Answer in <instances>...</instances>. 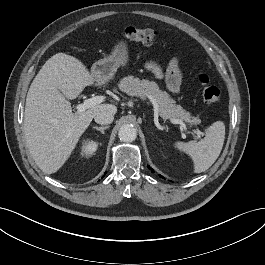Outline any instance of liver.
Wrapping results in <instances>:
<instances>
[{
    "label": "liver",
    "mask_w": 265,
    "mask_h": 265,
    "mask_svg": "<svg viewBox=\"0 0 265 265\" xmlns=\"http://www.w3.org/2000/svg\"><path fill=\"white\" fill-rule=\"evenodd\" d=\"M95 82L80 60L65 53L49 58L32 81L26 97L24 134L31 155L44 173H55L64 165L96 113L117 112L112 103L72 112L70 100Z\"/></svg>",
    "instance_id": "liver-1"
}]
</instances>
